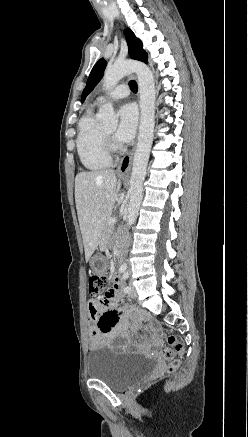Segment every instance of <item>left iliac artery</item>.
<instances>
[{
  "mask_svg": "<svg viewBox=\"0 0 248 437\" xmlns=\"http://www.w3.org/2000/svg\"><path fill=\"white\" fill-rule=\"evenodd\" d=\"M128 277H129V273L126 272V273L123 274V276H122V280H126V279H128ZM130 290H131V289H130L129 286L124 287V292H125V293H129Z\"/></svg>",
  "mask_w": 248,
  "mask_h": 437,
  "instance_id": "obj_1",
  "label": "left iliac artery"
}]
</instances>
